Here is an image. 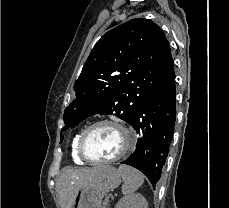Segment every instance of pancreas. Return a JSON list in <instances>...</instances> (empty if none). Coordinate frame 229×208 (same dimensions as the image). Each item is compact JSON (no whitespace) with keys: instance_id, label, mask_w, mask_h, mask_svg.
Segmentation results:
<instances>
[{"instance_id":"obj_1","label":"pancreas","mask_w":229,"mask_h":208,"mask_svg":"<svg viewBox=\"0 0 229 208\" xmlns=\"http://www.w3.org/2000/svg\"><path fill=\"white\" fill-rule=\"evenodd\" d=\"M102 204H103V208H106V206H108L107 200H104V202H102Z\"/></svg>"}]
</instances>
